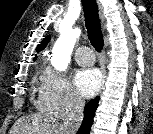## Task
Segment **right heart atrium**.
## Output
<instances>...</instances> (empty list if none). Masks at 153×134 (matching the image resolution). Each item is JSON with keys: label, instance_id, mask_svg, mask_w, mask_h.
<instances>
[{"label": "right heart atrium", "instance_id": "d8ad5b80", "mask_svg": "<svg viewBox=\"0 0 153 134\" xmlns=\"http://www.w3.org/2000/svg\"><path fill=\"white\" fill-rule=\"evenodd\" d=\"M83 106L84 100L65 76L51 69L44 72L38 94L40 110L65 118L78 113Z\"/></svg>", "mask_w": 153, "mask_h": 134}]
</instances>
